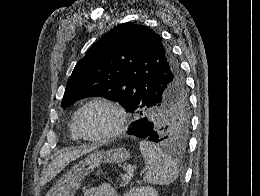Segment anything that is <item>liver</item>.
Returning a JSON list of instances; mask_svg holds the SVG:
<instances>
[{
	"label": "liver",
	"instance_id": "obj_1",
	"mask_svg": "<svg viewBox=\"0 0 260 196\" xmlns=\"http://www.w3.org/2000/svg\"><path fill=\"white\" fill-rule=\"evenodd\" d=\"M97 148H99V146H79L78 150H73V152H64V154L57 156L53 162H50L46 172H43L42 186H45L47 182H50L52 178H55V176H57L65 166H68L70 162H74V160L81 158L84 154L94 152Z\"/></svg>",
	"mask_w": 260,
	"mask_h": 196
}]
</instances>
